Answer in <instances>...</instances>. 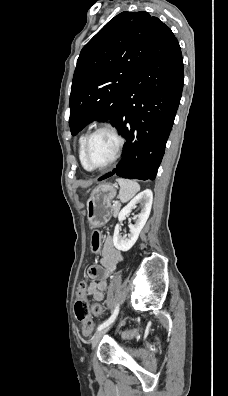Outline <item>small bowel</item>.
Masks as SVG:
<instances>
[{"label": "small bowel", "instance_id": "c3829d8e", "mask_svg": "<svg viewBox=\"0 0 228 396\" xmlns=\"http://www.w3.org/2000/svg\"><path fill=\"white\" fill-rule=\"evenodd\" d=\"M122 261L121 253L114 247L111 237H107L102 248L100 264L88 268V276L92 281L87 287V294L96 301H103L108 278Z\"/></svg>", "mask_w": 228, "mask_h": 396}]
</instances>
